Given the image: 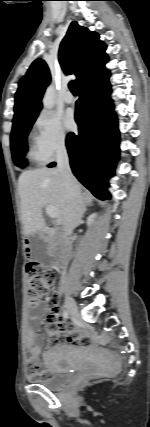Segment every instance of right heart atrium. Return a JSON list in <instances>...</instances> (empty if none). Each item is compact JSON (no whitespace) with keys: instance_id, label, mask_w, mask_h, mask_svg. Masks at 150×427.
Returning <instances> with one entry per match:
<instances>
[{"instance_id":"d8ad5b80","label":"right heart atrium","mask_w":150,"mask_h":427,"mask_svg":"<svg viewBox=\"0 0 150 427\" xmlns=\"http://www.w3.org/2000/svg\"><path fill=\"white\" fill-rule=\"evenodd\" d=\"M34 129L35 144L43 160L49 161L66 149L67 135L55 115L40 114L34 122Z\"/></svg>"}]
</instances>
